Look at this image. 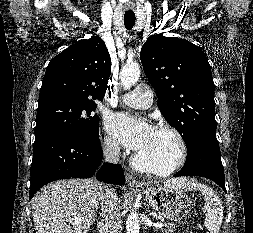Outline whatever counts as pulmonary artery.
<instances>
[{
    "label": "pulmonary artery",
    "instance_id": "1",
    "mask_svg": "<svg viewBox=\"0 0 253 233\" xmlns=\"http://www.w3.org/2000/svg\"><path fill=\"white\" fill-rule=\"evenodd\" d=\"M120 100L130 107L146 109L153 103V93L149 86L141 84L134 90L122 95Z\"/></svg>",
    "mask_w": 253,
    "mask_h": 233
}]
</instances>
